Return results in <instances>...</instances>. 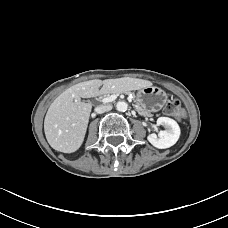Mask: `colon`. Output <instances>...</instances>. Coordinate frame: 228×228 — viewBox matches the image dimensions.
Wrapping results in <instances>:
<instances>
[{"mask_svg": "<svg viewBox=\"0 0 228 228\" xmlns=\"http://www.w3.org/2000/svg\"><path fill=\"white\" fill-rule=\"evenodd\" d=\"M164 112L168 115L179 118H181L183 115L180 102L176 99H170L165 103Z\"/></svg>", "mask_w": 228, "mask_h": 228, "instance_id": "colon-1", "label": "colon"}]
</instances>
